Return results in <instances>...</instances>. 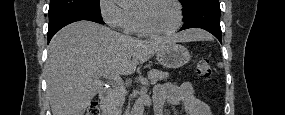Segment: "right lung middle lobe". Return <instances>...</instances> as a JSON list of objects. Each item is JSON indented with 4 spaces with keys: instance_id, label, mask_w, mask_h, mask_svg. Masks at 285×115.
Returning a JSON list of instances; mask_svg holds the SVG:
<instances>
[{
    "instance_id": "1",
    "label": "right lung middle lobe",
    "mask_w": 285,
    "mask_h": 115,
    "mask_svg": "<svg viewBox=\"0 0 285 115\" xmlns=\"http://www.w3.org/2000/svg\"><path fill=\"white\" fill-rule=\"evenodd\" d=\"M100 0H50L49 19L66 12H88L101 15Z\"/></svg>"
}]
</instances>
